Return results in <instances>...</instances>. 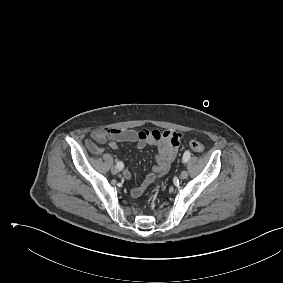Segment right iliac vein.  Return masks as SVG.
I'll use <instances>...</instances> for the list:
<instances>
[{"label":"right iliac vein","mask_w":283,"mask_h":283,"mask_svg":"<svg viewBox=\"0 0 283 283\" xmlns=\"http://www.w3.org/2000/svg\"><path fill=\"white\" fill-rule=\"evenodd\" d=\"M111 172H112L113 174H117V173L119 172V169L117 168V166H112Z\"/></svg>","instance_id":"1"}]
</instances>
